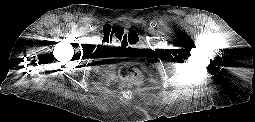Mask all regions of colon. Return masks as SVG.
Wrapping results in <instances>:
<instances>
[{
    "label": "colon",
    "mask_w": 255,
    "mask_h": 122,
    "mask_svg": "<svg viewBox=\"0 0 255 122\" xmlns=\"http://www.w3.org/2000/svg\"><path fill=\"white\" fill-rule=\"evenodd\" d=\"M107 35L115 36L120 42L136 41L137 35L132 28L108 26L104 29ZM120 88H127L138 84L141 80L140 71L132 64L125 63L119 67Z\"/></svg>",
    "instance_id": "5ec220e1"
}]
</instances>
